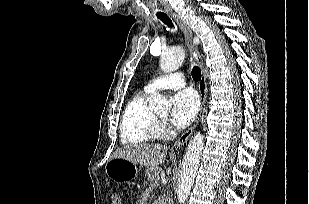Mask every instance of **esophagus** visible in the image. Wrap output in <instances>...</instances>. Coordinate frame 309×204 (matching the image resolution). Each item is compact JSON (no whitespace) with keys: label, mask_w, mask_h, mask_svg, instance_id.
I'll use <instances>...</instances> for the list:
<instances>
[{"label":"esophagus","mask_w":309,"mask_h":204,"mask_svg":"<svg viewBox=\"0 0 309 204\" xmlns=\"http://www.w3.org/2000/svg\"><path fill=\"white\" fill-rule=\"evenodd\" d=\"M172 17L174 18V20L176 21V23L180 27L181 31L184 33L185 41H186V44H187L188 49L190 51V55H191L192 59L195 61V63H197L199 65V67L201 68V71H202L201 79H200V82H199V96H200V101H201L200 110L198 112V115H197L193 125L176 140V142L174 144L175 148H181L187 143V141L189 140V138L193 134V132H194V130H195L197 124H198L202 110L204 109V106H205V103H206V97H207V83H206V75H205V72H204L203 60H202V57L200 55V52H199L198 46H197L199 44V38L193 37V33H192L191 28L177 14H172Z\"/></svg>","instance_id":"obj_1"}]
</instances>
